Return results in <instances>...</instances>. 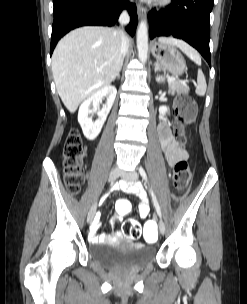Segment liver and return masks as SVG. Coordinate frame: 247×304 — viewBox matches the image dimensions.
<instances>
[{"label": "liver", "instance_id": "obj_1", "mask_svg": "<svg viewBox=\"0 0 247 304\" xmlns=\"http://www.w3.org/2000/svg\"><path fill=\"white\" fill-rule=\"evenodd\" d=\"M159 41L184 53L196 52L182 40L162 37ZM120 49V34L110 27H80L58 42L52 72L57 92L70 113L116 78L123 59Z\"/></svg>", "mask_w": 247, "mask_h": 304}]
</instances>
